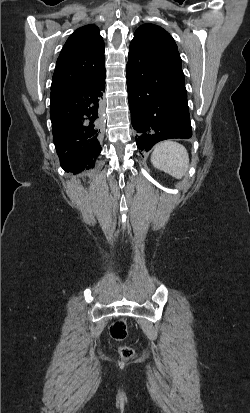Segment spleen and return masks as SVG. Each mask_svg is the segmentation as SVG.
Here are the masks:
<instances>
[{
  "instance_id": "spleen-1",
  "label": "spleen",
  "mask_w": 250,
  "mask_h": 413,
  "mask_svg": "<svg viewBox=\"0 0 250 413\" xmlns=\"http://www.w3.org/2000/svg\"><path fill=\"white\" fill-rule=\"evenodd\" d=\"M151 162L155 168L181 179L188 171L189 155L182 144L166 140L156 145Z\"/></svg>"
}]
</instances>
